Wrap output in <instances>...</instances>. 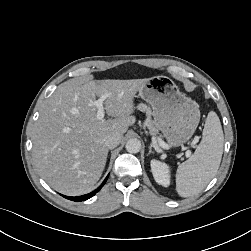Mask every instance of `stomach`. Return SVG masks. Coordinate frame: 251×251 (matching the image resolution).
Instances as JSON below:
<instances>
[{
  "label": "stomach",
  "instance_id": "stomach-1",
  "mask_svg": "<svg viewBox=\"0 0 251 251\" xmlns=\"http://www.w3.org/2000/svg\"><path fill=\"white\" fill-rule=\"evenodd\" d=\"M149 103L154 122L171 147L189 141L200 120L198 104L185 96L167 76H154L138 91Z\"/></svg>",
  "mask_w": 251,
  "mask_h": 251
}]
</instances>
